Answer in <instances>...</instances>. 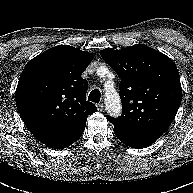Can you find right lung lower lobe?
Wrapping results in <instances>:
<instances>
[{
    "label": "right lung lower lobe",
    "mask_w": 193,
    "mask_h": 193,
    "mask_svg": "<svg viewBox=\"0 0 193 193\" xmlns=\"http://www.w3.org/2000/svg\"><path fill=\"white\" fill-rule=\"evenodd\" d=\"M84 130L75 133L67 138L64 139H58V140H54L51 141L45 145L52 147V148H56V149H63L66 148L68 146H70L72 143H74L83 133Z\"/></svg>",
    "instance_id": "right-lung-lower-lobe-1"
}]
</instances>
